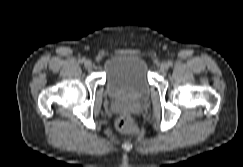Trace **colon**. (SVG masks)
<instances>
[{
    "instance_id": "colon-1",
    "label": "colon",
    "mask_w": 243,
    "mask_h": 167,
    "mask_svg": "<svg viewBox=\"0 0 243 167\" xmlns=\"http://www.w3.org/2000/svg\"><path fill=\"white\" fill-rule=\"evenodd\" d=\"M116 127L119 131L124 133H134L137 131V127L128 111L121 114L116 122Z\"/></svg>"
}]
</instances>
